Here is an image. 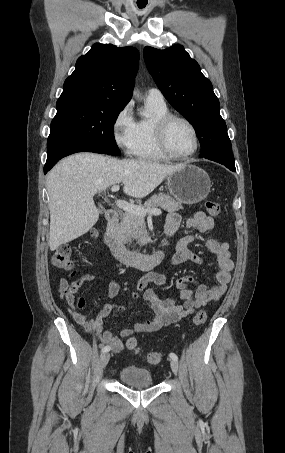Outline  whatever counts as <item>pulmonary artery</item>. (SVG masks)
<instances>
[{
	"label": "pulmonary artery",
	"mask_w": 285,
	"mask_h": 453,
	"mask_svg": "<svg viewBox=\"0 0 285 453\" xmlns=\"http://www.w3.org/2000/svg\"><path fill=\"white\" fill-rule=\"evenodd\" d=\"M147 101L155 102L158 104H165V98L162 92L157 88H150L146 94Z\"/></svg>",
	"instance_id": "e3ab8cb5"
}]
</instances>
